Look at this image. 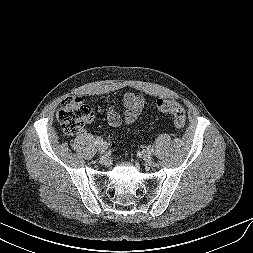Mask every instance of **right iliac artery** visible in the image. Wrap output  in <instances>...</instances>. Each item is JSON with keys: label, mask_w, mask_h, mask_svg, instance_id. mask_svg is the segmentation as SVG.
<instances>
[{"label": "right iliac artery", "mask_w": 253, "mask_h": 253, "mask_svg": "<svg viewBox=\"0 0 253 253\" xmlns=\"http://www.w3.org/2000/svg\"><path fill=\"white\" fill-rule=\"evenodd\" d=\"M96 143H97V144H102V143H103V139H102L101 137H98V138L96 139Z\"/></svg>", "instance_id": "obj_1"}]
</instances>
